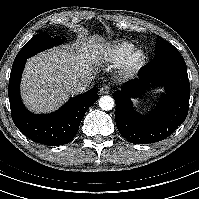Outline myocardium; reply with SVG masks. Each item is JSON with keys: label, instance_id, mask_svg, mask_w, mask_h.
<instances>
[{"label": "myocardium", "instance_id": "1", "mask_svg": "<svg viewBox=\"0 0 199 199\" xmlns=\"http://www.w3.org/2000/svg\"><path fill=\"white\" fill-rule=\"evenodd\" d=\"M145 59V52L141 48L133 47L119 62L118 74L123 78L133 76L142 68Z\"/></svg>", "mask_w": 199, "mask_h": 199}]
</instances>
